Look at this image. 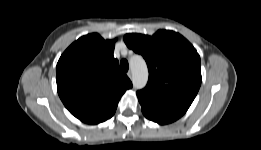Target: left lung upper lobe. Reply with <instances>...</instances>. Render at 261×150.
<instances>
[{"label": "left lung upper lobe", "instance_id": "left-lung-upper-lobe-1", "mask_svg": "<svg viewBox=\"0 0 261 150\" xmlns=\"http://www.w3.org/2000/svg\"><path fill=\"white\" fill-rule=\"evenodd\" d=\"M126 45L146 60L149 80L139 100L184 114L201 85L200 56L179 33L126 34Z\"/></svg>", "mask_w": 261, "mask_h": 150}]
</instances>
